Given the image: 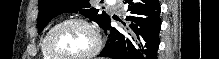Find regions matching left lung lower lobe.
<instances>
[{"label":"left lung lower lobe","mask_w":219,"mask_h":59,"mask_svg":"<svg viewBox=\"0 0 219 59\" xmlns=\"http://www.w3.org/2000/svg\"><path fill=\"white\" fill-rule=\"evenodd\" d=\"M128 16L122 29L111 28L104 49L98 56L110 59H157L159 47L160 4L158 0H124Z\"/></svg>","instance_id":"left-lung-lower-lobe-1"}]
</instances>
